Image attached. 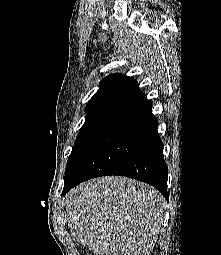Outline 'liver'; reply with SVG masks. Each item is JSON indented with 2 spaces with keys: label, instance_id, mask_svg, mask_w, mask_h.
<instances>
[{
  "label": "liver",
  "instance_id": "obj_1",
  "mask_svg": "<svg viewBox=\"0 0 221 255\" xmlns=\"http://www.w3.org/2000/svg\"><path fill=\"white\" fill-rule=\"evenodd\" d=\"M74 238L94 255H150L165 217V199L134 179L86 181L65 199Z\"/></svg>",
  "mask_w": 221,
  "mask_h": 255
}]
</instances>
